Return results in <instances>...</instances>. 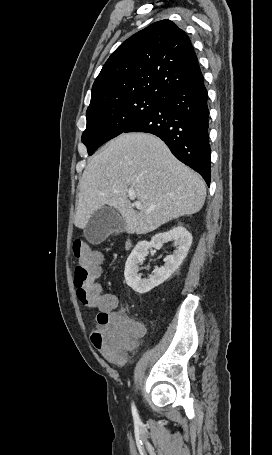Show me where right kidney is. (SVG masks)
<instances>
[{"label":"right kidney","mask_w":272,"mask_h":455,"mask_svg":"<svg viewBox=\"0 0 272 455\" xmlns=\"http://www.w3.org/2000/svg\"><path fill=\"white\" fill-rule=\"evenodd\" d=\"M174 241V253L164 259V266L156 268L149 278H141L138 264L143 263L149 248L160 249L164 242ZM192 244V235L179 225L168 232L159 233L150 242L140 241L129 255L124 270L125 280L134 291L143 294L165 282L182 264Z\"/></svg>","instance_id":"ca27d5eb"}]
</instances>
